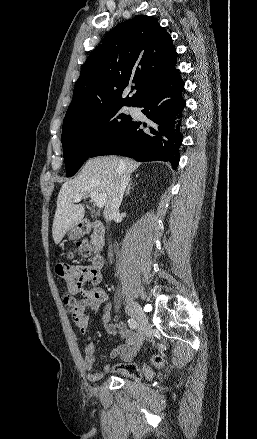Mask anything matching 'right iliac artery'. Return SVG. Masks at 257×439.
Masks as SVG:
<instances>
[{"mask_svg":"<svg viewBox=\"0 0 257 439\" xmlns=\"http://www.w3.org/2000/svg\"><path fill=\"white\" fill-rule=\"evenodd\" d=\"M128 325L131 329H136L137 322L133 318H130L128 319Z\"/></svg>","mask_w":257,"mask_h":439,"instance_id":"82829eb1","label":"right iliac artery"}]
</instances>
